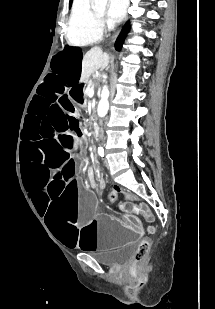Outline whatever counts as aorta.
<instances>
[{"label": "aorta", "instance_id": "obj_1", "mask_svg": "<svg viewBox=\"0 0 215 309\" xmlns=\"http://www.w3.org/2000/svg\"><path fill=\"white\" fill-rule=\"evenodd\" d=\"M92 4L94 8H105L107 4V0H92ZM109 92H102L101 98L98 102V116H106L109 108V100H108Z\"/></svg>", "mask_w": 215, "mask_h": 309}]
</instances>
